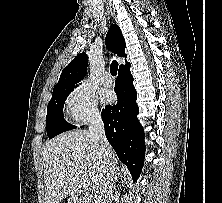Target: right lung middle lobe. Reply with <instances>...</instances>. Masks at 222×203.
<instances>
[{
  "label": "right lung middle lobe",
  "instance_id": "1",
  "mask_svg": "<svg viewBox=\"0 0 222 203\" xmlns=\"http://www.w3.org/2000/svg\"><path fill=\"white\" fill-rule=\"evenodd\" d=\"M74 90L65 89L55 91L47 106L46 128L47 135L51 139L60 133L76 128L63 118V106L68 95Z\"/></svg>",
  "mask_w": 222,
  "mask_h": 203
}]
</instances>
